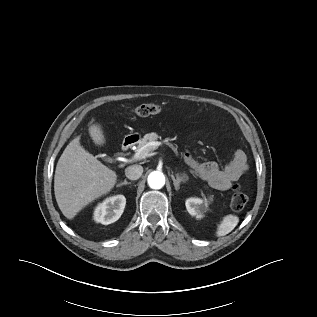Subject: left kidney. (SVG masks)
Here are the masks:
<instances>
[{"mask_svg": "<svg viewBox=\"0 0 317 317\" xmlns=\"http://www.w3.org/2000/svg\"><path fill=\"white\" fill-rule=\"evenodd\" d=\"M185 205L190 215L201 219L204 216V212L207 207V201L205 200V204H203V200L200 198H189L186 200Z\"/></svg>", "mask_w": 317, "mask_h": 317, "instance_id": "1", "label": "left kidney"}]
</instances>
